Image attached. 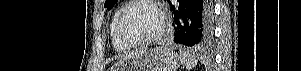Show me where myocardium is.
I'll return each instance as SVG.
<instances>
[{"instance_id":"f54148a6","label":"myocardium","mask_w":301,"mask_h":71,"mask_svg":"<svg viewBox=\"0 0 301 71\" xmlns=\"http://www.w3.org/2000/svg\"><path fill=\"white\" fill-rule=\"evenodd\" d=\"M142 3L148 4L157 10V12L159 13L160 18H161V24H160V27L158 28L157 32L154 35L149 36V37L139 40V41H131L126 38V36L124 35V32H123L122 26H123L124 15L131 6L136 5V4H142ZM167 26H168L167 14H166L165 10L163 9V7L157 1L131 0V1L127 2L121 8V10L118 14L117 21H116V33H117V36L120 39V41L127 47H132V48L143 47V46L153 44V43L157 42L158 40H160V38L164 35V33L167 29Z\"/></svg>"}]
</instances>
